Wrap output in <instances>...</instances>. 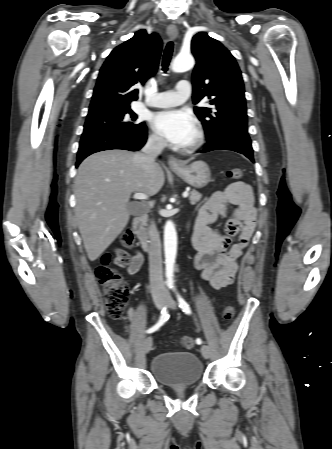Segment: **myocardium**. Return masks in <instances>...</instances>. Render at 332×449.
Returning <instances> with one entry per match:
<instances>
[{
    "label": "myocardium",
    "instance_id": "f54148a6",
    "mask_svg": "<svg viewBox=\"0 0 332 449\" xmlns=\"http://www.w3.org/2000/svg\"><path fill=\"white\" fill-rule=\"evenodd\" d=\"M204 142V133L200 128L195 130V134L190 143L186 145L184 150L186 152H193L197 150Z\"/></svg>",
    "mask_w": 332,
    "mask_h": 449
}]
</instances>
